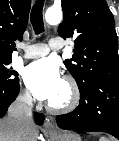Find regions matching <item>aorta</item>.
Masks as SVG:
<instances>
[{
	"label": "aorta",
	"instance_id": "762f6f07",
	"mask_svg": "<svg viewBox=\"0 0 119 141\" xmlns=\"http://www.w3.org/2000/svg\"><path fill=\"white\" fill-rule=\"evenodd\" d=\"M46 22L50 25H56L62 20V11L57 8H49L45 13Z\"/></svg>",
	"mask_w": 119,
	"mask_h": 141
}]
</instances>
